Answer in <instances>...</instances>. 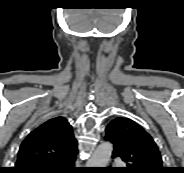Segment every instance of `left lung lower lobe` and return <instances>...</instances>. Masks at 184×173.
I'll list each match as a JSON object with an SVG mask.
<instances>
[{
    "mask_svg": "<svg viewBox=\"0 0 184 173\" xmlns=\"http://www.w3.org/2000/svg\"><path fill=\"white\" fill-rule=\"evenodd\" d=\"M111 171L109 170V168H108V170H104V171H102V173H110ZM124 173H126L125 171H124Z\"/></svg>",
    "mask_w": 184,
    "mask_h": 173,
    "instance_id": "1",
    "label": "left lung lower lobe"
}]
</instances>
